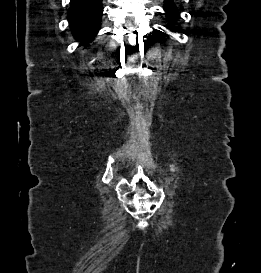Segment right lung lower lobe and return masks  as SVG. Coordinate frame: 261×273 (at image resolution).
I'll return each instance as SVG.
<instances>
[{
  "mask_svg": "<svg viewBox=\"0 0 261 273\" xmlns=\"http://www.w3.org/2000/svg\"><path fill=\"white\" fill-rule=\"evenodd\" d=\"M102 0H71L68 20L73 36L87 44L98 33L102 17Z\"/></svg>",
  "mask_w": 261,
  "mask_h": 273,
  "instance_id": "right-lung-lower-lobe-1",
  "label": "right lung lower lobe"
}]
</instances>
